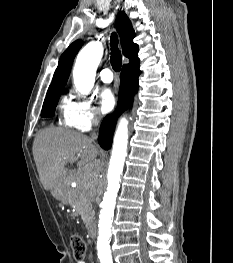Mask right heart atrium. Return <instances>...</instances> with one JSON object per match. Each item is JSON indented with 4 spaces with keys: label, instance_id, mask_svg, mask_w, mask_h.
I'll list each match as a JSON object with an SVG mask.
<instances>
[{
    "label": "right heart atrium",
    "instance_id": "1",
    "mask_svg": "<svg viewBox=\"0 0 233 263\" xmlns=\"http://www.w3.org/2000/svg\"><path fill=\"white\" fill-rule=\"evenodd\" d=\"M99 121L98 110L91 101L78 100L73 103V109L70 115L71 128L86 132L98 124Z\"/></svg>",
    "mask_w": 233,
    "mask_h": 263
}]
</instances>
